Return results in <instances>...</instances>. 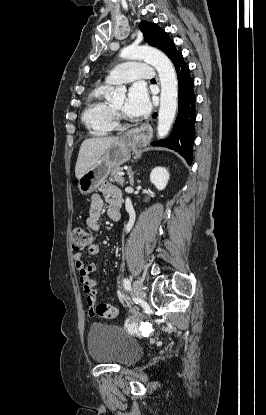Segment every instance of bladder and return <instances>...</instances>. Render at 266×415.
Wrapping results in <instances>:
<instances>
[{
  "label": "bladder",
  "mask_w": 266,
  "mask_h": 415,
  "mask_svg": "<svg viewBox=\"0 0 266 415\" xmlns=\"http://www.w3.org/2000/svg\"><path fill=\"white\" fill-rule=\"evenodd\" d=\"M87 348L92 361L99 364L130 366L143 355L141 345L123 329L101 323L90 327Z\"/></svg>",
  "instance_id": "31cf9c89"
}]
</instances>
